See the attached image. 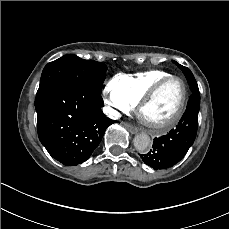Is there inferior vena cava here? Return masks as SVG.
<instances>
[{"label":"inferior vena cava","mask_w":229,"mask_h":229,"mask_svg":"<svg viewBox=\"0 0 229 229\" xmlns=\"http://www.w3.org/2000/svg\"><path fill=\"white\" fill-rule=\"evenodd\" d=\"M109 111H110V110H107V108H106V111H105V112L109 114Z\"/></svg>","instance_id":"inferior-vena-cava-1"}]
</instances>
